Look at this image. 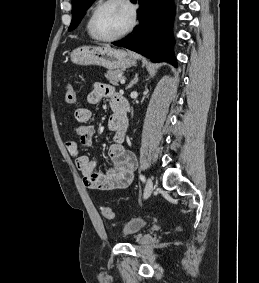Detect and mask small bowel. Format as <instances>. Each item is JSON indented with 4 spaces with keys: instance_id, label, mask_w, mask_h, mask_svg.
<instances>
[{
    "instance_id": "small-bowel-1",
    "label": "small bowel",
    "mask_w": 259,
    "mask_h": 283,
    "mask_svg": "<svg viewBox=\"0 0 259 283\" xmlns=\"http://www.w3.org/2000/svg\"><path fill=\"white\" fill-rule=\"evenodd\" d=\"M119 95L109 85L97 83L87 95L89 104H98L102 99L109 102L113 114L109 117L107 127L112 133V143L108 148L110 166L103 168L100 164L86 155L80 154V147L76 141L66 142V150L75 158L76 166L83 175L84 185L89 189L119 190L127 188L133 181L137 167L135 155L123 146L126 124L120 123L116 107ZM93 112L86 107L75 110V123L72 125L73 134L79 139L82 147H89L95 130L88 125Z\"/></svg>"
}]
</instances>
